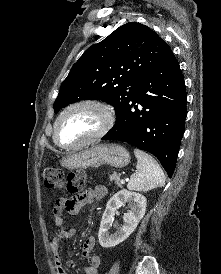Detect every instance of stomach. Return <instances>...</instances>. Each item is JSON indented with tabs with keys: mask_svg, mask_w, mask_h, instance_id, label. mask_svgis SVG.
<instances>
[{
	"mask_svg": "<svg viewBox=\"0 0 221 274\" xmlns=\"http://www.w3.org/2000/svg\"><path fill=\"white\" fill-rule=\"evenodd\" d=\"M129 162L128 151L117 144L93 145L79 152H72L60 161L61 165L67 169L99 167L105 164L123 168Z\"/></svg>",
	"mask_w": 221,
	"mask_h": 274,
	"instance_id": "stomach-1",
	"label": "stomach"
}]
</instances>
